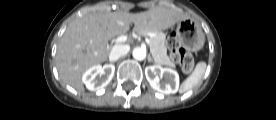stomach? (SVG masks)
<instances>
[{
	"label": "stomach",
	"mask_w": 276,
	"mask_h": 120,
	"mask_svg": "<svg viewBox=\"0 0 276 120\" xmlns=\"http://www.w3.org/2000/svg\"><path fill=\"white\" fill-rule=\"evenodd\" d=\"M176 37L190 51L200 50L205 41L201 27L190 18L177 23Z\"/></svg>",
	"instance_id": "0dacf381"
}]
</instances>
